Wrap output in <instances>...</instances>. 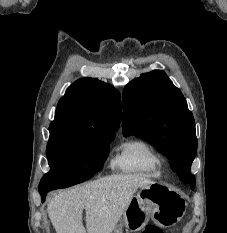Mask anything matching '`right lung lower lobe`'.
I'll return each instance as SVG.
<instances>
[{"label":"right lung lower lobe","instance_id":"1","mask_svg":"<svg viewBox=\"0 0 227 233\" xmlns=\"http://www.w3.org/2000/svg\"><path fill=\"white\" fill-rule=\"evenodd\" d=\"M47 192H49V191H40V195L42 197V201L45 200Z\"/></svg>","mask_w":227,"mask_h":233}]
</instances>
